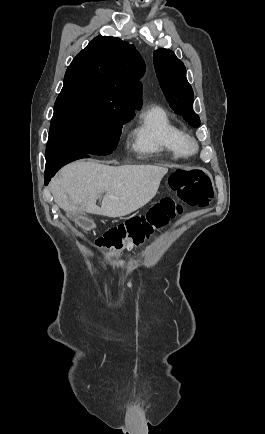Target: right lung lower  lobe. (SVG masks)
<instances>
[{"label":"right lung lower lobe","instance_id":"1","mask_svg":"<svg viewBox=\"0 0 265 434\" xmlns=\"http://www.w3.org/2000/svg\"><path fill=\"white\" fill-rule=\"evenodd\" d=\"M92 155H79V156H70V157H64V158H58L51 161H46V169H45V185H47L51 179L55 175V173L64 165L75 161L77 159L81 158H89Z\"/></svg>","mask_w":265,"mask_h":434}]
</instances>
